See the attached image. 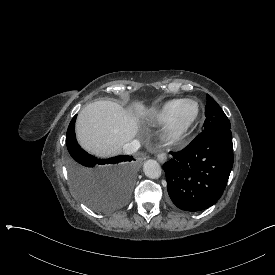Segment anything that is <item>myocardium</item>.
<instances>
[{"label": "myocardium", "mask_w": 275, "mask_h": 275, "mask_svg": "<svg viewBox=\"0 0 275 275\" xmlns=\"http://www.w3.org/2000/svg\"><path fill=\"white\" fill-rule=\"evenodd\" d=\"M184 105H191L194 108L192 117L187 122H181L178 118L179 109ZM199 105L192 100L181 101L172 111L171 117L168 122L170 138L178 140L184 137L194 127L199 118Z\"/></svg>", "instance_id": "f54148a6"}]
</instances>
